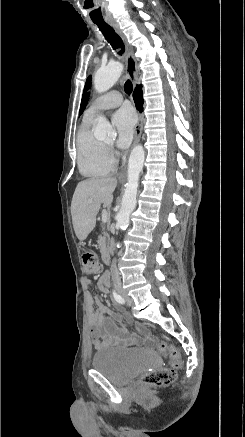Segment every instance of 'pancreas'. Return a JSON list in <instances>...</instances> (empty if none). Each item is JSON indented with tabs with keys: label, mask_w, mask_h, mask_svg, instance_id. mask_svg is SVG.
Listing matches in <instances>:
<instances>
[{
	"label": "pancreas",
	"mask_w": 245,
	"mask_h": 437,
	"mask_svg": "<svg viewBox=\"0 0 245 437\" xmlns=\"http://www.w3.org/2000/svg\"><path fill=\"white\" fill-rule=\"evenodd\" d=\"M109 241V234L106 231V226L102 225V235L98 238V245L100 248V251H104L106 248V245Z\"/></svg>",
	"instance_id": "pancreas-1"
}]
</instances>
